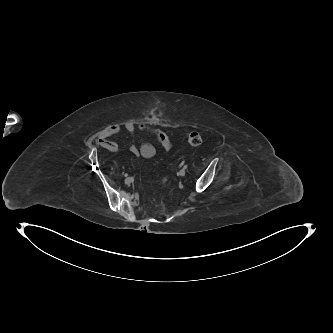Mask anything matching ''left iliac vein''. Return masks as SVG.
<instances>
[{
    "label": "left iliac vein",
    "instance_id": "1",
    "mask_svg": "<svg viewBox=\"0 0 333 333\" xmlns=\"http://www.w3.org/2000/svg\"><path fill=\"white\" fill-rule=\"evenodd\" d=\"M186 173L185 169H181L179 172H178V176H184Z\"/></svg>",
    "mask_w": 333,
    "mask_h": 333
}]
</instances>
